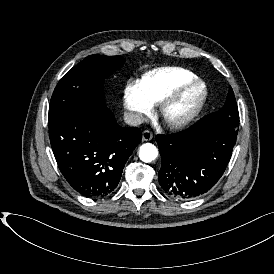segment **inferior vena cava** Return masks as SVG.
<instances>
[{
  "label": "inferior vena cava",
  "mask_w": 274,
  "mask_h": 274,
  "mask_svg": "<svg viewBox=\"0 0 274 274\" xmlns=\"http://www.w3.org/2000/svg\"><path fill=\"white\" fill-rule=\"evenodd\" d=\"M145 121L141 113L124 112V122L130 126H138Z\"/></svg>",
  "instance_id": "1"
}]
</instances>
